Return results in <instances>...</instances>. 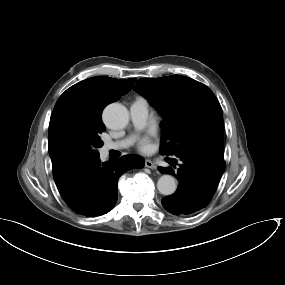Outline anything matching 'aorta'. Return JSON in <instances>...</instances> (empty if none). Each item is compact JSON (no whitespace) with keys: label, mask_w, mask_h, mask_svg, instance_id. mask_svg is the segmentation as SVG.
<instances>
[{"label":"aorta","mask_w":285,"mask_h":285,"mask_svg":"<svg viewBox=\"0 0 285 285\" xmlns=\"http://www.w3.org/2000/svg\"><path fill=\"white\" fill-rule=\"evenodd\" d=\"M104 122L112 129L125 127L129 120V114L125 106L119 103L108 105L103 113ZM177 188L176 181L171 175H162L157 182V189L163 195H172Z\"/></svg>","instance_id":"obj_1"}]
</instances>
